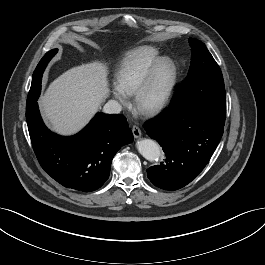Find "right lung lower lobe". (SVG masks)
I'll return each mask as SVG.
<instances>
[{
    "label": "right lung lower lobe",
    "mask_w": 265,
    "mask_h": 265,
    "mask_svg": "<svg viewBox=\"0 0 265 265\" xmlns=\"http://www.w3.org/2000/svg\"><path fill=\"white\" fill-rule=\"evenodd\" d=\"M26 121L37 159L61 185L82 192L100 188L108 179L117 151L133 141L126 118L98 113L78 134L62 137L44 125L38 104L26 106Z\"/></svg>",
    "instance_id": "right-lung-lower-lobe-1"
}]
</instances>
